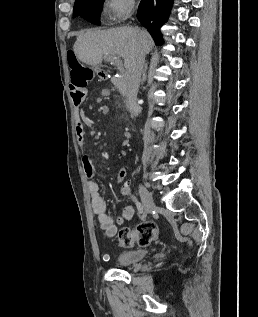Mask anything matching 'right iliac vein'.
<instances>
[{
	"label": "right iliac vein",
	"instance_id": "right-iliac-vein-1",
	"mask_svg": "<svg viewBox=\"0 0 258 317\" xmlns=\"http://www.w3.org/2000/svg\"><path fill=\"white\" fill-rule=\"evenodd\" d=\"M138 190H139V195L142 198L141 200L142 207L145 210V213L147 215H150L152 213V210L155 207V202L153 200V197L151 193L148 191L147 187H144L141 184H138Z\"/></svg>",
	"mask_w": 258,
	"mask_h": 317
}]
</instances>
